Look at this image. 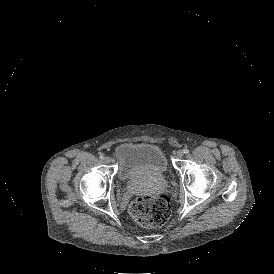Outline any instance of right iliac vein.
<instances>
[{
  "mask_svg": "<svg viewBox=\"0 0 274 274\" xmlns=\"http://www.w3.org/2000/svg\"><path fill=\"white\" fill-rule=\"evenodd\" d=\"M104 161H105L106 163H110V162H111V158L107 156V157H105Z\"/></svg>",
  "mask_w": 274,
  "mask_h": 274,
  "instance_id": "obj_1",
  "label": "right iliac vein"
}]
</instances>
